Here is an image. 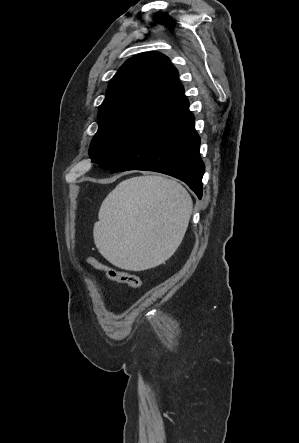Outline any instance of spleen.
<instances>
[{
  "mask_svg": "<svg viewBox=\"0 0 299 443\" xmlns=\"http://www.w3.org/2000/svg\"><path fill=\"white\" fill-rule=\"evenodd\" d=\"M192 209L189 193L174 180L161 176L127 179L100 207L93 231L95 245L121 269L155 267L181 244Z\"/></svg>",
  "mask_w": 299,
  "mask_h": 443,
  "instance_id": "obj_1",
  "label": "spleen"
}]
</instances>
